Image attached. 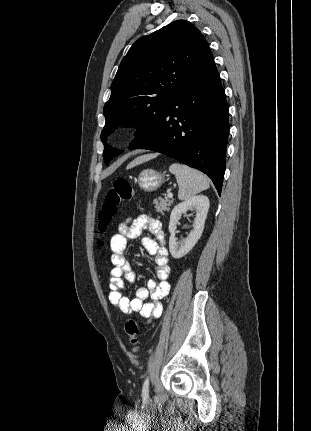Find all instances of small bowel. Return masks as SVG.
Returning a JSON list of instances; mask_svg holds the SVG:
<instances>
[{
    "mask_svg": "<svg viewBox=\"0 0 311 431\" xmlns=\"http://www.w3.org/2000/svg\"><path fill=\"white\" fill-rule=\"evenodd\" d=\"M144 230H148L155 237V239L144 237L142 245L150 255L154 256L159 282L150 280L147 287L138 288L136 296L130 299L122 294V290L124 282H134L136 275L125 253L128 241L139 237ZM110 248L113 264V268L110 270L109 283V301L111 304L123 313L138 312L144 319L159 316L162 312L161 300L170 289L169 277L171 272L165 235L160 220L149 214L127 218L119 225L118 232L112 236ZM148 298L151 299V302L144 303Z\"/></svg>",
    "mask_w": 311,
    "mask_h": 431,
    "instance_id": "small-bowel-1",
    "label": "small bowel"
}]
</instances>
